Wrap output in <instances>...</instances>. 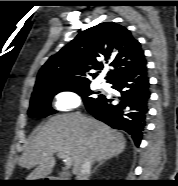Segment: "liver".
Masks as SVG:
<instances>
[{
    "label": "liver",
    "instance_id": "6515ba94",
    "mask_svg": "<svg viewBox=\"0 0 178 186\" xmlns=\"http://www.w3.org/2000/svg\"><path fill=\"white\" fill-rule=\"evenodd\" d=\"M124 136L93 118L79 112L51 117L32 138L19 159V165L34 171L28 180H38L52 173L54 154L62 153L72 160L73 174L80 172L89 157L101 161L124 151Z\"/></svg>",
    "mask_w": 178,
    "mask_h": 186
}]
</instances>
